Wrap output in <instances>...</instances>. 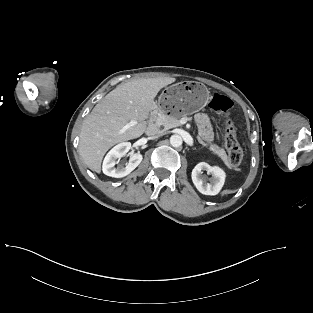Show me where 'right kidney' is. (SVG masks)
<instances>
[{
  "instance_id": "ca27d5eb",
  "label": "right kidney",
  "mask_w": 313,
  "mask_h": 313,
  "mask_svg": "<svg viewBox=\"0 0 313 313\" xmlns=\"http://www.w3.org/2000/svg\"><path fill=\"white\" fill-rule=\"evenodd\" d=\"M131 148L130 142H123L112 148L103 161V173L107 176L122 178L130 174L142 161L143 156L140 153H134L125 165H118L116 160L125 156Z\"/></svg>"
}]
</instances>
